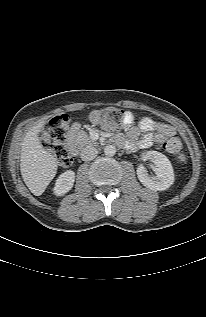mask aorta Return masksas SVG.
Wrapping results in <instances>:
<instances>
[{
	"label": "aorta",
	"mask_w": 206,
	"mask_h": 317,
	"mask_svg": "<svg viewBox=\"0 0 206 317\" xmlns=\"http://www.w3.org/2000/svg\"><path fill=\"white\" fill-rule=\"evenodd\" d=\"M104 153L107 156H114L116 154V147L114 145H107L104 148Z\"/></svg>",
	"instance_id": "1"
}]
</instances>
